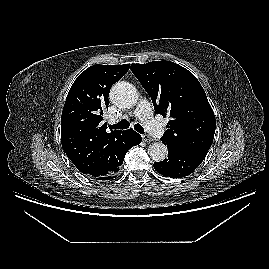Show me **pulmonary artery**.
Listing matches in <instances>:
<instances>
[{
  "label": "pulmonary artery",
  "instance_id": "1",
  "mask_svg": "<svg viewBox=\"0 0 269 269\" xmlns=\"http://www.w3.org/2000/svg\"><path fill=\"white\" fill-rule=\"evenodd\" d=\"M135 116L138 117L145 130L154 138H160L164 135L163 126L153 118V110L147 100H141L135 110ZM115 122L114 118L110 119Z\"/></svg>",
  "mask_w": 269,
  "mask_h": 269
}]
</instances>
